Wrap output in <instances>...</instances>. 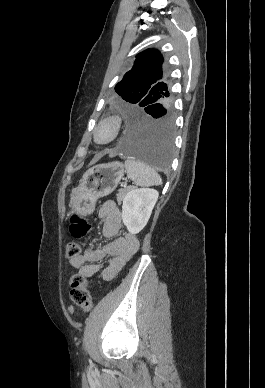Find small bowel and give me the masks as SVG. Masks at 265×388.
Segmentation results:
<instances>
[{
  "label": "small bowel",
  "instance_id": "small-bowel-1",
  "mask_svg": "<svg viewBox=\"0 0 265 388\" xmlns=\"http://www.w3.org/2000/svg\"><path fill=\"white\" fill-rule=\"evenodd\" d=\"M98 216L103 220L104 237L113 240L100 247L85 249L78 257L69 260L68 270L79 269V274L85 278L98 275L100 279L110 281L137 252L139 240L130 233L118 237L122 228V214L116 202H104ZM106 257L109 259L101 262Z\"/></svg>",
  "mask_w": 265,
  "mask_h": 388
}]
</instances>
